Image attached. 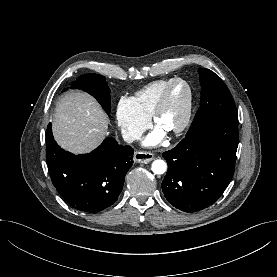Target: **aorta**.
<instances>
[{"label":"aorta","instance_id":"obj_1","mask_svg":"<svg viewBox=\"0 0 277 277\" xmlns=\"http://www.w3.org/2000/svg\"><path fill=\"white\" fill-rule=\"evenodd\" d=\"M166 169H167V164L163 160H155L152 163V171L155 174H163L165 173Z\"/></svg>","mask_w":277,"mask_h":277}]
</instances>
